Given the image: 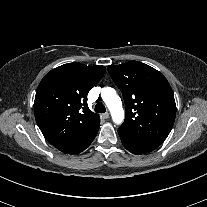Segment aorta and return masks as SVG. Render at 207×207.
Returning a JSON list of instances; mask_svg holds the SVG:
<instances>
[{
    "label": "aorta",
    "instance_id": "1",
    "mask_svg": "<svg viewBox=\"0 0 207 207\" xmlns=\"http://www.w3.org/2000/svg\"><path fill=\"white\" fill-rule=\"evenodd\" d=\"M101 97L110 110L114 123L121 124L124 120V111L121 99L115 89L111 87L103 88L101 91Z\"/></svg>",
    "mask_w": 207,
    "mask_h": 207
}]
</instances>
